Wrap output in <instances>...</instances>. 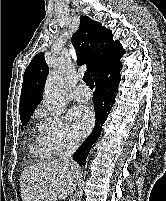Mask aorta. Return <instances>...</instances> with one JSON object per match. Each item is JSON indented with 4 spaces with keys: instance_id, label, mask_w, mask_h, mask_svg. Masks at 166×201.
Wrapping results in <instances>:
<instances>
[{
    "instance_id": "1",
    "label": "aorta",
    "mask_w": 166,
    "mask_h": 201,
    "mask_svg": "<svg viewBox=\"0 0 166 201\" xmlns=\"http://www.w3.org/2000/svg\"><path fill=\"white\" fill-rule=\"evenodd\" d=\"M44 98L49 110L61 114L66 106L64 82L61 72L51 73L46 81Z\"/></svg>"
}]
</instances>
